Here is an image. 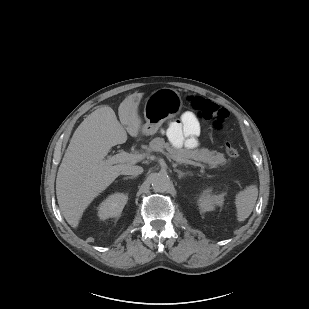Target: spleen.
<instances>
[{"label": "spleen", "instance_id": "obj_1", "mask_svg": "<svg viewBox=\"0 0 309 309\" xmlns=\"http://www.w3.org/2000/svg\"><path fill=\"white\" fill-rule=\"evenodd\" d=\"M258 197V188L252 184L240 191L235 198L237 220L244 221L253 211Z\"/></svg>", "mask_w": 309, "mask_h": 309}]
</instances>
